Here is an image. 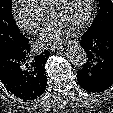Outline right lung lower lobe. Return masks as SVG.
<instances>
[{"mask_svg": "<svg viewBox=\"0 0 113 113\" xmlns=\"http://www.w3.org/2000/svg\"><path fill=\"white\" fill-rule=\"evenodd\" d=\"M50 52L32 56L29 40L24 37L18 44L0 54V80L16 97L34 100L41 96L47 85L45 62Z\"/></svg>", "mask_w": 113, "mask_h": 113, "instance_id": "98d812e1", "label": "right lung lower lobe"}]
</instances>
